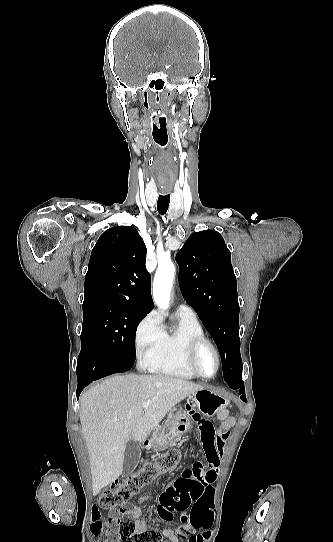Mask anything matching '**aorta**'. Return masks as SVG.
Wrapping results in <instances>:
<instances>
[{"instance_id": "obj_1", "label": "aorta", "mask_w": 333, "mask_h": 542, "mask_svg": "<svg viewBox=\"0 0 333 542\" xmlns=\"http://www.w3.org/2000/svg\"><path fill=\"white\" fill-rule=\"evenodd\" d=\"M175 274L173 264L168 266H158L153 282V298L156 306L160 310L169 308L170 292Z\"/></svg>"}]
</instances>
